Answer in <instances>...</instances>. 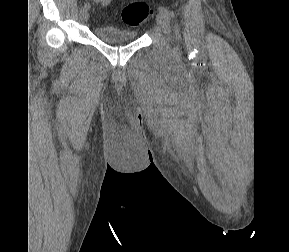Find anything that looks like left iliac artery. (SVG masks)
<instances>
[{
    "instance_id": "left-iliac-artery-1",
    "label": "left iliac artery",
    "mask_w": 289,
    "mask_h": 252,
    "mask_svg": "<svg viewBox=\"0 0 289 252\" xmlns=\"http://www.w3.org/2000/svg\"><path fill=\"white\" fill-rule=\"evenodd\" d=\"M158 10H159L160 13L164 14L168 18V20H171L173 18V16H174L171 11H169L167 8H165L163 6H160L158 8Z\"/></svg>"
}]
</instances>
